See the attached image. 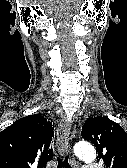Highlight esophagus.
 <instances>
[{
	"label": "esophagus",
	"mask_w": 127,
	"mask_h": 168,
	"mask_svg": "<svg viewBox=\"0 0 127 168\" xmlns=\"http://www.w3.org/2000/svg\"><path fill=\"white\" fill-rule=\"evenodd\" d=\"M71 122L65 119H62L58 125L57 129V147L61 154L66 152L68 148V139L71 131ZM70 162L73 165V168H78L75 157L70 153Z\"/></svg>",
	"instance_id": "obj_1"
}]
</instances>
